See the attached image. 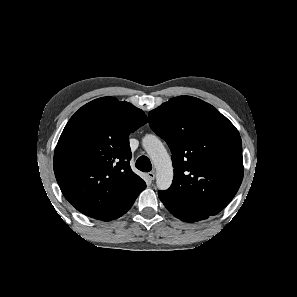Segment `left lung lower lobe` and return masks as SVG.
Listing matches in <instances>:
<instances>
[{
	"mask_svg": "<svg viewBox=\"0 0 297 297\" xmlns=\"http://www.w3.org/2000/svg\"><path fill=\"white\" fill-rule=\"evenodd\" d=\"M158 196H159L160 200L163 202V204L165 205V207L169 210V212L172 215H174L175 217L179 218L180 220L185 221V222H190V223L197 222L200 220L198 218H195L193 216L186 214L185 212L181 211L179 208L175 207L170 202V200L165 195H163L162 192L159 191Z\"/></svg>",
	"mask_w": 297,
	"mask_h": 297,
	"instance_id": "left-lung-lower-lobe-1",
	"label": "left lung lower lobe"
}]
</instances>
